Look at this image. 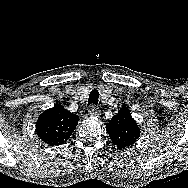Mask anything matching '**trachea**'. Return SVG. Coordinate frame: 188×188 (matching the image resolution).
<instances>
[{
	"mask_svg": "<svg viewBox=\"0 0 188 188\" xmlns=\"http://www.w3.org/2000/svg\"><path fill=\"white\" fill-rule=\"evenodd\" d=\"M99 91L96 89H93L90 92L89 98H88V106L90 105H97L98 104V99H99Z\"/></svg>",
	"mask_w": 188,
	"mask_h": 188,
	"instance_id": "obj_1",
	"label": "trachea"
}]
</instances>
